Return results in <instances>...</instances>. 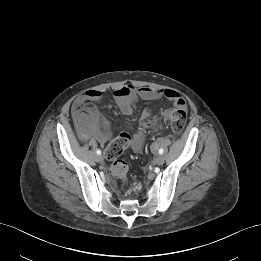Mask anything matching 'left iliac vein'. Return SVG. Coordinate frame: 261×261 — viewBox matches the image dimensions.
<instances>
[{
  "mask_svg": "<svg viewBox=\"0 0 261 261\" xmlns=\"http://www.w3.org/2000/svg\"><path fill=\"white\" fill-rule=\"evenodd\" d=\"M154 163H155L157 166L163 165V164H164V157H163L161 154L157 155V156L155 157V159H154Z\"/></svg>",
  "mask_w": 261,
  "mask_h": 261,
  "instance_id": "obj_1",
  "label": "left iliac vein"
}]
</instances>
